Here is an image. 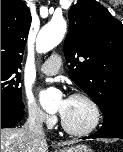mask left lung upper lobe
Masks as SVG:
<instances>
[{"label":"left lung upper lobe","instance_id":"5c2ea615","mask_svg":"<svg viewBox=\"0 0 123 152\" xmlns=\"http://www.w3.org/2000/svg\"><path fill=\"white\" fill-rule=\"evenodd\" d=\"M64 54L70 78L91 96L105 114L123 105V25L95 0L69 10Z\"/></svg>","mask_w":123,"mask_h":152}]
</instances>
